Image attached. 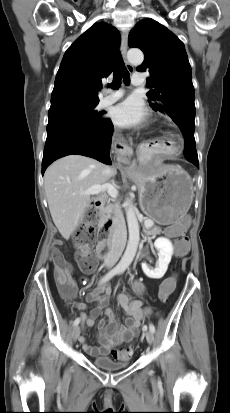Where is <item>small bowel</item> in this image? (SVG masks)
Instances as JSON below:
<instances>
[{
    "label": "small bowel",
    "instance_id": "small-bowel-1",
    "mask_svg": "<svg viewBox=\"0 0 230 413\" xmlns=\"http://www.w3.org/2000/svg\"><path fill=\"white\" fill-rule=\"evenodd\" d=\"M181 232L182 230L176 225H172L166 230V234L169 237H175ZM185 250L187 251V248ZM134 287L139 293L145 291L144 285L139 281H135ZM110 294V286L101 283L87 295V302L95 304L88 314L85 312L86 305L84 303L76 304V308L80 311L79 319L82 321L83 328L85 326H93L102 311L105 312L109 319L107 326L103 319L98 321V346L89 345L82 335L79 336V342L83 350L91 357L96 358L112 354L115 359L125 361L130 357L125 351L123 352L127 348H118L131 342L136 337L143 319L149 314V310L144 308L142 301L131 299L127 294H119L117 296V303L128 316L125 323L121 324L117 321L115 311L108 307Z\"/></svg>",
    "mask_w": 230,
    "mask_h": 413
}]
</instances>
